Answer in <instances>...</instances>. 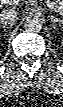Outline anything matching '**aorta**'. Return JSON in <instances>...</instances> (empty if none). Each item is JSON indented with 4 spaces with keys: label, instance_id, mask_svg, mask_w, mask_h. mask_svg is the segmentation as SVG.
<instances>
[{
    "label": "aorta",
    "instance_id": "762f6f07",
    "mask_svg": "<svg viewBox=\"0 0 63 107\" xmlns=\"http://www.w3.org/2000/svg\"><path fill=\"white\" fill-rule=\"evenodd\" d=\"M24 28L28 32H39L42 29V22L37 16L26 18Z\"/></svg>",
    "mask_w": 63,
    "mask_h": 107
}]
</instances>
